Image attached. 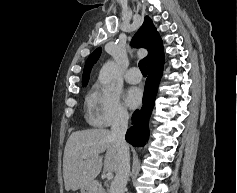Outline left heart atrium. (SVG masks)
I'll return each instance as SVG.
<instances>
[{
	"instance_id": "left-heart-atrium-1",
	"label": "left heart atrium",
	"mask_w": 237,
	"mask_h": 193,
	"mask_svg": "<svg viewBox=\"0 0 237 193\" xmlns=\"http://www.w3.org/2000/svg\"><path fill=\"white\" fill-rule=\"evenodd\" d=\"M125 101L127 105L131 108H136L141 104L142 93L137 88H131L126 93Z\"/></svg>"
}]
</instances>
